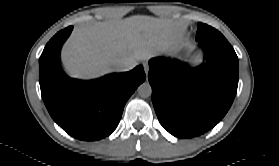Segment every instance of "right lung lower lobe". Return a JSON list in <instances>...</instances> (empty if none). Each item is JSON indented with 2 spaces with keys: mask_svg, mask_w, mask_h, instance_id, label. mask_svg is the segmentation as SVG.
Returning <instances> with one entry per match:
<instances>
[{
  "mask_svg": "<svg viewBox=\"0 0 279 166\" xmlns=\"http://www.w3.org/2000/svg\"><path fill=\"white\" fill-rule=\"evenodd\" d=\"M73 27L58 32L39 59V83L44 103L54 121L71 136L94 141L110 135L124 106L146 75L141 65L93 81L68 77L59 63L62 44Z\"/></svg>",
  "mask_w": 279,
  "mask_h": 166,
  "instance_id": "obj_1",
  "label": "right lung lower lobe"
}]
</instances>
